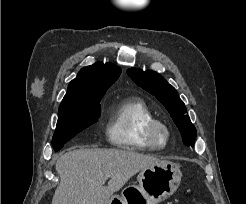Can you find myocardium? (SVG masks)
Listing matches in <instances>:
<instances>
[{"label":"myocardium","instance_id":"f54148a6","mask_svg":"<svg viewBox=\"0 0 246 204\" xmlns=\"http://www.w3.org/2000/svg\"><path fill=\"white\" fill-rule=\"evenodd\" d=\"M161 131L165 134L164 140H160L159 138V133ZM144 138L153 149H163L170 142L171 130L165 122L154 119L146 126Z\"/></svg>","mask_w":246,"mask_h":204}]
</instances>
